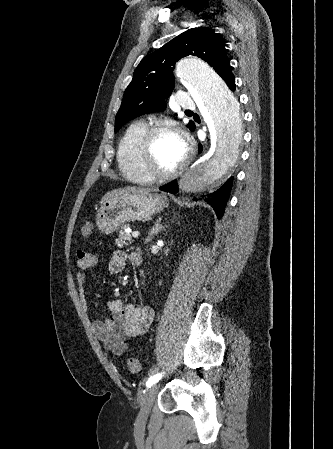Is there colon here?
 Here are the masks:
<instances>
[{
    "mask_svg": "<svg viewBox=\"0 0 333 449\" xmlns=\"http://www.w3.org/2000/svg\"><path fill=\"white\" fill-rule=\"evenodd\" d=\"M92 233V224L87 222L81 228V235L83 238H88ZM128 368L132 373H138L140 371V363L136 358H130L128 360Z\"/></svg>",
    "mask_w": 333,
    "mask_h": 449,
    "instance_id": "5ec220e1",
    "label": "colon"
}]
</instances>
